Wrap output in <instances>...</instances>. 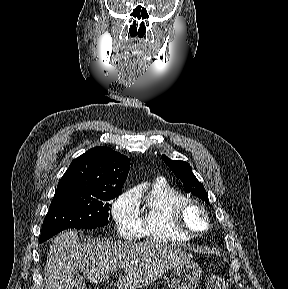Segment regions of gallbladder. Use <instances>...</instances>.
I'll use <instances>...</instances> for the list:
<instances>
[{
    "label": "gallbladder",
    "mask_w": 288,
    "mask_h": 289,
    "mask_svg": "<svg viewBox=\"0 0 288 289\" xmlns=\"http://www.w3.org/2000/svg\"><path fill=\"white\" fill-rule=\"evenodd\" d=\"M74 282H75V285L78 287V286H82V285H85V281L83 278H81L80 276H76L74 278Z\"/></svg>",
    "instance_id": "gallbladder-1"
}]
</instances>
